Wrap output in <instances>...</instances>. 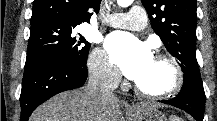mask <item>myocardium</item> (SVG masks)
Returning a JSON list of instances; mask_svg holds the SVG:
<instances>
[{
	"instance_id": "1",
	"label": "myocardium",
	"mask_w": 217,
	"mask_h": 121,
	"mask_svg": "<svg viewBox=\"0 0 217 121\" xmlns=\"http://www.w3.org/2000/svg\"><path fill=\"white\" fill-rule=\"evenodd\" d=\"M154 59L165 62L171 69L172 81L170 85L160 91H149L142 88L136 81L134 82L135 91L147 99L166 100L177 95L184 86V72L180 63L170 54L158 53Z\"/></svg>"
}]
</instances>
